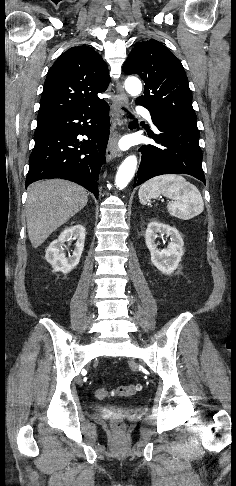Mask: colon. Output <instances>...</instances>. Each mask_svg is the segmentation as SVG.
Masks as SVG:
<instances>
[{
  "mask_svg": "<svg viewBox=\"0 0 236 486\" xmlns=\"http://www.w3.org/2000/svg\"><path fill=\"white\" fill-rule=\"evenodd\" d=\"M142 389L139 384L122 385L113 389L99 388L95 391V396L98 400H104L109 396L118 397H131L137 394ZM113 428L116 431H121L123 428L122 421L118 416H115L112 420Z\"/></svg>",
  "mask_w": 236,
  "mask_h": 486,
  "instance_id": "5ec220e1",
  "label": "colon"
}]
</instances>
